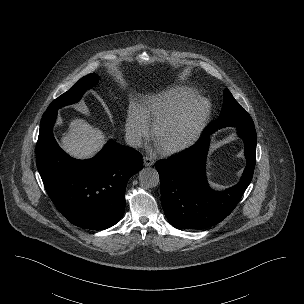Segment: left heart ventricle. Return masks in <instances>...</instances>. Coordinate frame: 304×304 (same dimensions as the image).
<instances>
[{"mask_svg":"<svg viewBox=\"0 0 304 304\" xmlns=\"http://www.w3.org/2000/svg\"><path fill=\"white\" fill-rule=\"evenodd\" d=\"M200 113V107L196 106L181 117L166 124L160 131L158 144L166 146L185 140L195 128Z\"/></svg>","mask_w":304,"mask_h":304,"instance_id":"left-heart-ventricle-1","label":"left heart ventricle"}]
</instances>
